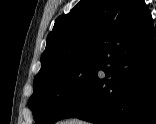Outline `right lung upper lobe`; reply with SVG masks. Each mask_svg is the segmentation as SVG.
<instances>
[{
  "label": "right lung upper lobe",
  "mask_w": 156,
  "mask_h": 124,
  "mask_svg": "<svg viewBox=\"0 0 156 124\" xmlns=\"http://www.w3.org/2000/svg\"><path fill=\"white\" fill-rule=\"evenodd\" d=\"M152 25L144 0H81L70 13L56 19L35 78L64 66L102 59L129 32Z\"/></svg>",
  "instance_id": "cb5924a9"
}]
</instances>
